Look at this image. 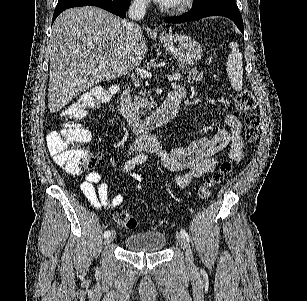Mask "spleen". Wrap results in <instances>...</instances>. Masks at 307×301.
<instances>
[{
    "mask_svg": "<svg viewBox=\"0 0 307 301\" xmlns=\"http://www.w3.org/2000/svg\"><path fill=\"white\" fill-rule=\"evenodd\" d=\"M231 52L227 60V74L230 78L231 86L234 90H242L243 86V62L242 54L237 42H229Z\"/></svg>",
    "mask_w": 307,
    "mask_h": 301,
    "instance_id": "3e777b00",
    "label": "spleen"
}]
</instances>
